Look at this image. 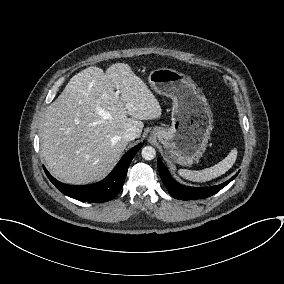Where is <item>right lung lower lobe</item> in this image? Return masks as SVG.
<instances>
[{
  "mask_svg": "<svg viewBox=\"0 0 284 284\" xmlns=\"http://www.w3.org/2000/svg\"><path fill=\"white\" fill-rule=\"evenodd\" d=\"M141 147L142 144H139L130 149L104 180L91 185L71 186L63 184L52 177L45 167L44 170L49 180L65 195L84 202H106L112 200L122 189L128 167Z\"/></svg>",
  "mask_w": 284,
  "mask_h": 284,
  "instance_id": "obj_1",
  "label": "right lung lower lobe"
}]
</instances>
